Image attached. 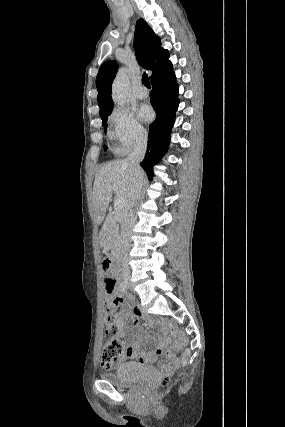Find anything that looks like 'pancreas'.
<instances>
[{
  "mask_svg": "<svg viewBox=\"0 0 285 427\" xmlns=\"http://www.w3.org/2000/svg\"><path fill=\"white\" fill-rule=\"evenodd\" d=\"M118 220V216H115ZM119 238V224L111 222L107 232V244L113 246Z\"/></svg>",
  "mask_w": 285,
  "mask_h": 427,
  "instance_id": "cf45deb5",
  "label": "pancreas"
}]
</instances>
